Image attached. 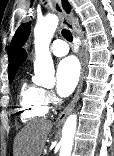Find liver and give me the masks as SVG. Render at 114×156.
<instances>
[{"label": "liver", "instance_id": "6515ba94", "mask_svg": "<svg viewBox=\"0 0 114 156\" xmlns=\"http://www.w3.org/2000/svg\"><path fill=\"white\" fill-rule=\"evenodd\" d=\"M51 129V121L33 120L27 123L15 138L13 156H41Z\"/></svg>", "mask_w": 114, "mask_h": 156}]
</instances>
